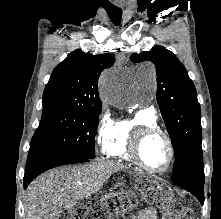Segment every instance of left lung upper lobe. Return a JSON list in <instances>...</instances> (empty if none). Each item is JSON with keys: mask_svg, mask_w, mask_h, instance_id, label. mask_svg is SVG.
<instances>
[{"mask_svg": "<svg viewBox=\"0 0 221 219\" xmlns=\"http://www.w3.org/2000/svg\"><path fill=\"white\" fill-rule=\"evenodd\" d=\"M130 60L151 61L156 66V98L175 153L172 181L204 179L200 104L185 67L162 46L132 54Z\"/></svg>", "mask_w": 221, "mask_h": 219, "instance_id": "obj_1", "label": "left lung upper lobe"}]
</instances>
